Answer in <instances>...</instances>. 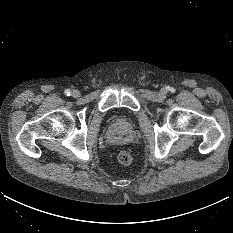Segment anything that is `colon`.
Wrapping results in <instances>:
<instances>
[{"label": "colon", "mask_w": 233, "mask_h": 233, "mask_svg": "<svg viewBox=\"0 0 233 233\" xmlns=\"http://www.w3.org/2000/svg\"><path fill=\"white\" fill-rule=\"evenodd\" d=\"M117 160L122 165H129L132 162V156L128 151L122 150L118 153Z\"/></svg>", "instance_id": "5ec220e1"}]
</instances>
